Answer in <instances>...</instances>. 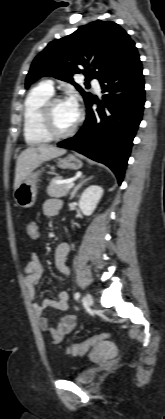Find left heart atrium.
<instances>
[{
  "mask_svg": "<svg viewBox=\"0 0 165 419\" xmlns=\"http://www.w3.org/2000/svg\"><path fill=\"white\" fill-rule=\"evenodd\" d=\"M72 116L77 120L80 115V103L77 96H71L66 100Z\"/></svg>",
  "mask_w": 165,
  "mask_h": 419,
  "instance_id": "39dd6f15",
  "label": "left heart atrium"
}]
</instances>
